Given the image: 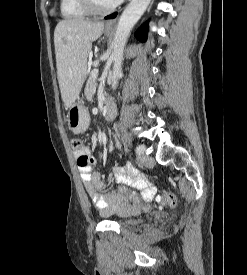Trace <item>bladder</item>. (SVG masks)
<instances>
[{
	"label": "bladder",
	"instance_id": "1",
	"mask_svg": "<svg viewBox=\"0 0 247 275\" xmlns=\"http://www.w3.org/2000/svg\"><path fill=\"white\" fill-rule=\"evenodd\" d=\"M111 221L117 222L120 226L129 227L139 222L138 212L135 210H129L123 216L113 218Z\"/></svg>",
	"mask_w": 247,
	"mask_h": 275
}]
</instances>
